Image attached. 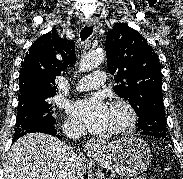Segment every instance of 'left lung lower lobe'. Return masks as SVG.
Listing matches in <instances>:
<instances>
[{
	"label": "left lung lower lobe",
	"mask_w": 183,
	"mask_h": 179,
	"mask_svg": "<svg viewBox=\"0 0 183 179\" xmlns=\"http://www.w3.org/2000/svg\"><path fill=\"white\" fill-rule=\"evenodd\" d=\"M165 141H167V142H169V143H171L172 144V141H171V138L170 137H165V138H163Z\"/></svg>",
	"instance_id": "left-lung-lower-lobe-1"
}]
</instances>
